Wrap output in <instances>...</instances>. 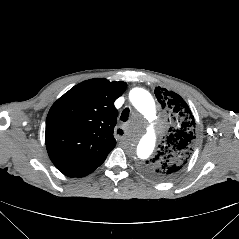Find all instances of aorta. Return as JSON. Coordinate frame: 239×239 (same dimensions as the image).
Wrapping results in <instances>:
<instances>
[{
    "mask_svg": "<svg viewBox=\"0 0 239 239\" xmlns=\"http://www.w3.org/2000/svg\"><path fill=\"white\" fill-rule=\"evenodd\" d=\"M129 99L133 106L147 120L155 116V102L151 94L143 88H134L129 93ZM158 132V124L155 121H148L143 129V134L136 148V157L140 160L148 158L155 144V136Z\"/></svg>",
    "mask_w": 239,
    "mask_h": 239,
    "instance_id": "obj_1",
    "label": "aorta"
}]
</instances>
